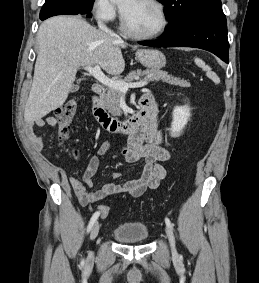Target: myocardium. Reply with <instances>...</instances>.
Wrapping results in <instances>:
<instances>
[{
	"label": "myocardium",
	"instance_id": "obj_1",
	"mask_svg": "<svg viewBox=\"0 0 259 283\" xmlns=\"http://www.w3.org/2000/svg\"><path fill=\"white\" fill-rule=\"evenodd\" d=\"M149 2L153 3L158 10L161 13L162 16V25L159 28V30H157L156 32L153 33H139L136 31H133L129 25L127 24V21L125 19V16L123 14V11L121 10L120 12V24H121V30L128 36L136 38V39H154L157 38L159 36H161L166 29L168 28L169 25V17L166 11V8L164 6V4L160 1V0H148Z\"/></svg>",
	"mask_w": 259,
	"mask_h": 283
}]
</instances>
